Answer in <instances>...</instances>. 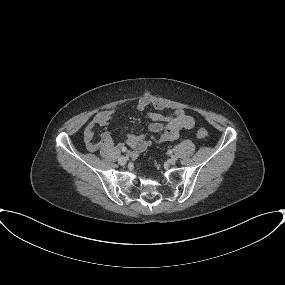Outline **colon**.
Here are the masks:
<instances>
[{"mask_svg":"<svg viewBox=\"0 0 285 285\" xmlns=\"http://www.w3.org/2000/svg\"><path fill=\"white\" fill-rule=\"evenodd\" d=\"M197 136H198V138H200V139H205V138L208 136V132H207L204 128H200V129L197 131Z\"/></svg>","mask_w":285,"mask_h":285,"instance_id":"5ec220e1","label":"colon"}]
</instances>
